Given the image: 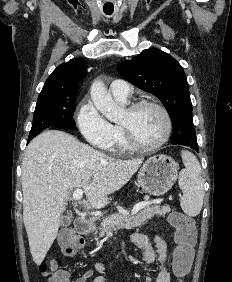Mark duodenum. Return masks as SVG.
Listing matches in <instances>:
<instances>
[{
	"label": "duodenum",
	"instance_id": "obj_1",
	"mask_svg": "<svg viewBox=\"0 0 232 282\" xmlns=\"http://www.w3.org/2000/svg\"><path fill=\"white\" fill-rule=\"evenodd\" d=\"M74 227L79 234H86L90 230L89 220L85 217H78L74 222Z\"/></svg>",
	"mask_w": 232,
	"mask_h": 282
}]
</instances>
